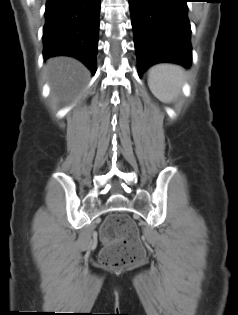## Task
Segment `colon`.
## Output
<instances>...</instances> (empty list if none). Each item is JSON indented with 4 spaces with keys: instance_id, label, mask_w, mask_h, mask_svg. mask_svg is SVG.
Masks as SVG:
<instances>
[{
    "instance_id": "1",
    "label": "colon",
    "mask_w": 238,
    "mask_h": 315,
    "mask_svg": "<svg viewBox=\"0 0 238 315\" xmlns=\"http://www.w3.org/2000/svg\"><path fill=\"white\" fill-rule=\"evenodd\" d=\"M105 247L100 253L101 262L114 268L131 266L143 261L145 251L138 229L124 213H113L103 222L100 230Z\"/></svg>"
}]
</instances>
